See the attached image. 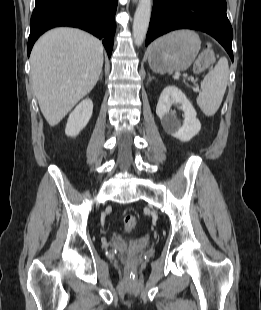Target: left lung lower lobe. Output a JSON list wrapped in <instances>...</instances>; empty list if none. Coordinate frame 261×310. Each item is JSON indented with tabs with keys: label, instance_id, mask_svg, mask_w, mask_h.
<instances>
[{
	"label": "left lung lower lobe",
	"instance_id": "obj_1",
	"mask_svg": "<svg viewBox=\"0 0 261 310\" xmlns=\"http://www.w3.org/2000/svg\"><path fill=\"white\" fill-rule=\"evenodd\" d=\"M225 0H154L146 45L175 29H195L214 37L233 61V31Z\"/></svg>",
	"mask_w": 261,
	"mask_h": 310
}]
</instances>
